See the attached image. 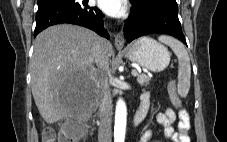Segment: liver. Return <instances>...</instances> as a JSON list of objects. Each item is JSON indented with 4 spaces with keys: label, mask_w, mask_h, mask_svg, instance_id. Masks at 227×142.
I'll return each instance as SVG.
<instances>
[{
    "label": "liver",
    "mask_w": 227,
    "mask_h": 142,
    "mask_svg": "<svg viewBox=\"0 0 227 142\" xmlns=\"http://www.w3.org/2000/svg\"><path fill=\"white\" fill-rule=\"evenodd\" d=\"M95 42L101 44L108 58L113 54L110 42L80 26H51L37 35L30 62L31 89L48 124L70 116V99L79 91V85L96 80L92 52Z\"/></svg>",
    "instance_id": "1"
}]
</instances>
